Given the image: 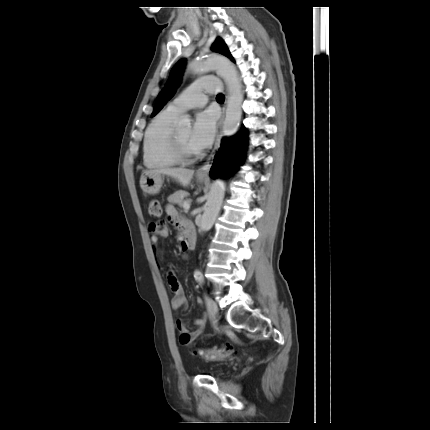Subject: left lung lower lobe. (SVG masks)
I'll use <instances>...</instances> for the list:
<instances>
[{"mask_svg": "<svg viewBox=\"0 0 430 430\" xmlns=\"http://www.w3.org/2000/svg\"><path fill=\"white\" fill-rule=\"evenodd\" d=\"M247 133L242 131L232 138H224L221 147L217 152L214 163L210 170L212 178L216 176H226L236 169L242 161L243 152L247 144Z\"/></svg>", "mask_w": 430, "mask_h": 430, "instance_id": "obj_1", "label": "left lung lower lobe"}]
</instances>
